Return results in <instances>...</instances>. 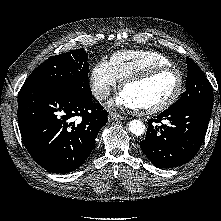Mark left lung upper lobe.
Instances as JSON below:
<instances>
[{
	"label": "left lung upper lobe",
	"mask_w": 221,
	"mask_h": 221,
	"mask_svg": "<svg viewBox=\"0 0 221 221\" xmlns=\"http://www.w3.org/2000/svg\"><path fill=\"white\" fill-rule=\"evenodd\" d=\"M186 91L169 109H178L193 102L213 103V90L200 67L187 57Z\"/></svg>",
	"instance_id": "left-lung-upper-lobe-1"
}]
</instances>
